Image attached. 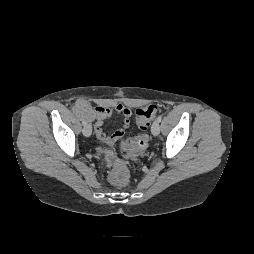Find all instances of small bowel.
<instances>
[{
  "label": "small bowel",
  "instance_id": "small-bowel-1",
  "mask_svg": "<svg viewBox=\"0 0 254 254\" xmlns=\"http://www.w3.org/2000/svg\"><path fill=\"white\" fill-rule=\"evenodd\" d=\"M74 110L82 120L89 122L94 121V131L97 138L107 144H113L122 138L125 129L128 128L131 123L132 111L121 103L117 104L114 110L123 116V125L111 133H106L103 129V125L104 122L112 116L113 109L101 106L92 107L86 100L80 99L75 103ZM108 159L113 161L114 154L112 151L108 152Z\"/></svg>",
  "mask_w": 254,
  "mask_h": 254
}]
</instances>
